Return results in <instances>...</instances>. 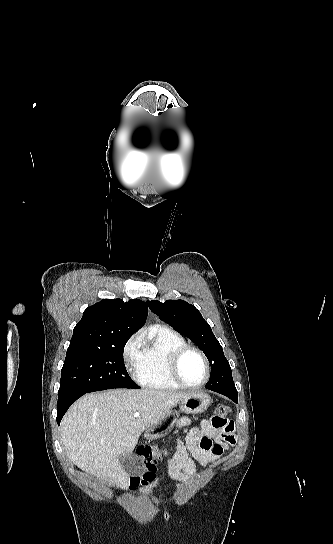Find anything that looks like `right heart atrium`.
Masks as SVG:
<instances>
[{"mask_svg": "<svg viewBox=\"0 0 333 544\" xmlns=\"http://www.w3.org/2000/svg\"><path fill=\"white\" fill-rule=\"evenodd\" d=\"M139 352L140 336L138 334H134L126 341L122 350L125 367L131 373H135L136 371Z\"/></svg>", "mask_w": 333, "mask_h": 544, "instance_id": "d8ad5b80", "label": "right heart atrium"}]
</instances>
